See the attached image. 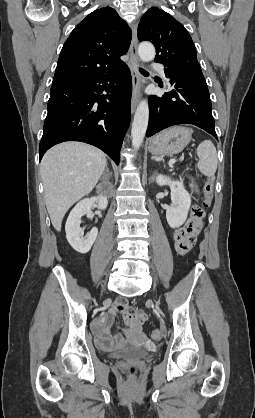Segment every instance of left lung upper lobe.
I'll return each mask as SVG.
<instances>
[{"label": "left lung upper lobe", "instance_id": "left-lung-upper-lobe-1", "mask_svg": "<svg viewBox=\"0 0 255 418\" xmlns=\"http://www.w3.org/2000/svg\"><path fill=\"white\" fill-rule=\"evenodd\" d=\"M138 39L151 41L154 61L165 68L198 63L195 45L184 26L159 8H150L141 18Z\"/></svg>", "mask_w": 255, "mask_h": 418}]
</instances>
